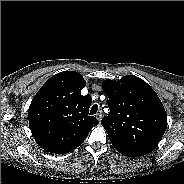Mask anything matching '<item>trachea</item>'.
<instances>
[{
  "label": "trachea",
  "instance_id": "1",
  "mask_svg": "<svg viewBox=\"0 0 184 184\" xmlns=\"http://www.w3.org/2000/svg\"><path fill=\"white\" fill-rule=\"evenodd\" d=\"M98 111V105H93L91 110H90V115H94L96 114V112Z\"/></svg>",
  "mask_w": 184,
  "mask_h": 184
}]
</instances>
